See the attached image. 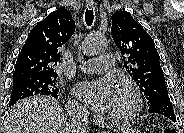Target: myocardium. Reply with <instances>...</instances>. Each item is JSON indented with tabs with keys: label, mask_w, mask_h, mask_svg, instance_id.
Segmentation results:
<instances>
[{
	"label": "myocardium",
	"mask_w": 184,
	"mask_h": 133,
	"mask_svg": "<svg viewBox=\"0 0 184 133\" xmlns=\"http://www.w3.org/2000/svg\"><path fill=\"white\" fill-rule=\"evenodd\" d=\"M119 90L129 96L130 108L121 116H108V119L115 124H127L134 120L142 109V99L138 88L133 83H125Z\"/></svg>",
	"instance_id": "f54148a6"
}]
</instances>
